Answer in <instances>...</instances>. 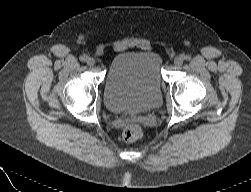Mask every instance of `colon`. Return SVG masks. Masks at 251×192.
I'll return each mask as SVG.
<instances>
[{"instance_id": "1", "label": "colon", "mask_w": 251, "mask_h": 192, "mask_svg": "<svg viewBox=\"0 0 251 192\" xmlns=\"http://www.w3.org/2000/svg\"><path fill=\"white\" fill-rule=\"evenodd\" d=\"M143 135V130L138 124H130L122 131V137L126 142H134L140 139Z\"/></svg>"}]
</instances>
